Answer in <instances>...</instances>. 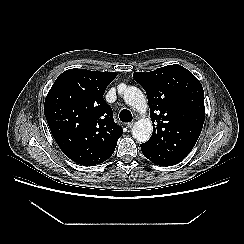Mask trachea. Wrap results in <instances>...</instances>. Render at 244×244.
<instances>
[{"label":"trachea","mask_w":244,"mask_h":244,"mask_svg":"<svg viewBox=\"0 0 244 244\" xmlns=\"http://www.w3.org/2000/svg\"><path fill=\"white\" fill-rule=\"evenodd\" d=\"M120 121L130 122L132 121V114L129 110L123 109L119 114Z\"/></svg>","instance_id":"trachea-1"}]
</instances>
